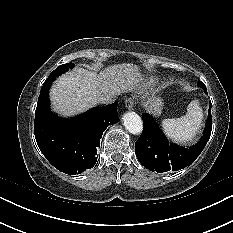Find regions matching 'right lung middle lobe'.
<instances>
[{
  "label": "right lung middle lobe",
  "instance_id": "obj_1",
  "mask_svg": "<svg viewBox=\"0 0 233 233\" xmlns=\"http://www.w3.org/2000/svg\"><path fill=\"white\" fill-rule=\"evenodd\" d=\"M74 67L73 63H67V64H63L60 65L59 67H57L49 76L52 77V81H54V79L56 77H58L60 74H63L64 72L68 71L69 69H72ZM45 98H43V95H39L38 98V104L37 106L40 107L45 103Z\"/></svg>",
  "mask_w": 233,
  "mask_h": 233
}]
</instances>
